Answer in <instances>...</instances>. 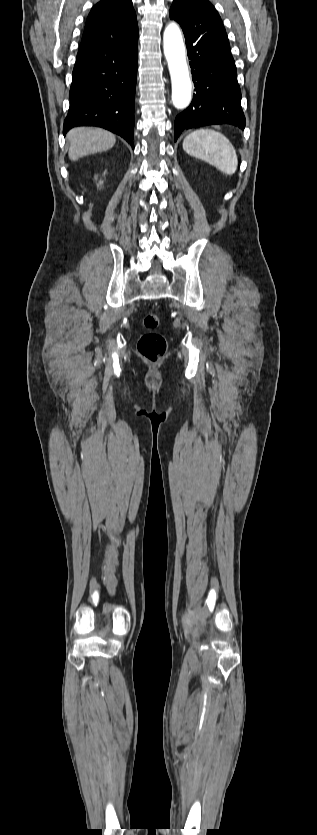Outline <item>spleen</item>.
<instances>
[{"label": "spleen", "mask_w": 317, "mask_h": 835, "mask_svg": "<svg viewBox=\"0 0 317 835\" xmlns=\"http://www.w3.org/2000/svg\"><path fill=\"white\" fill-rule=\"evenodd\" d=\"M183 149L227 176L233 175L237 170L238 158L235 148L225 135L215 130L198 129L191 132L183 141Z\"/></svg>", "instance_id": "obj_1"}]
</instances>
